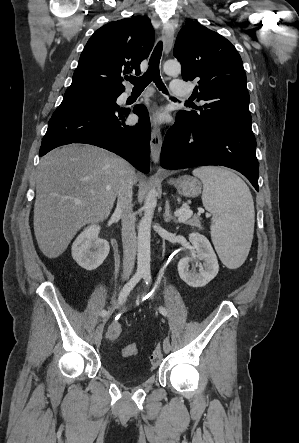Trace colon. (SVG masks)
<instances>
[{"instance_id": "colon-1", "label": "colon", "mask_w": 299, "mask_h": 443, "mask_svg": "<svg viewBox=\"0 0 299 443\" xmlns=\"http://www.w3.org/2000/svg\"><path fill=\"white\" fill-rule=\"evenodd\" d=\"M121 334H122V326L119 322L111 323L106 330V338L109 340H117L118 338H120ZM137 352H138V346L136 343H130L122 349V355L124 357H132L136 355ZM162 359H163V353L161 347L158 345L154 348L150 356V361L152 366L157 367L162 362Z\"/></svg>"}]
</instances>
